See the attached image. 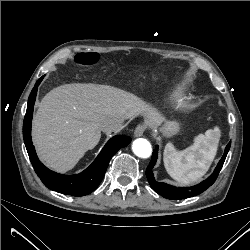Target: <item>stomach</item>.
I'll return each instance as SVG.
<instances>
[{
    "label": "stomach",
    "instance_id": "0dacf381",
    "mask_svg": "<svg viewBox=\"0 0 250 250\" xmlns=\"http://www.w3.org/2000/svg\"><path fill=\"white\" fill-rule=\"evenodd\" d=\"M160 131L164 136L172 137L180 131V125L176 121H167L162 125Z\"/></svg>",
    "mask_w": 250,
    "mask_h": 250
}]
</instances>
